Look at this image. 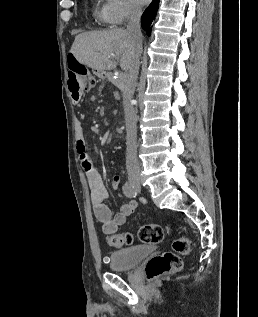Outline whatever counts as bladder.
Instances as JSON below:
<instances>
[{
    "mask_svg": "<svg viewBox=\"0 0 258 317\" xmlns=\"http://www.w3.org/2000/svg\"><path fill=\"white\" fill-rule=\"evenodd\" d=\"M155 251L156 247L153 245H135L113 251L109 255L110 267L116 271L133 269Z\"/></svg>",
    "mask_w": 258,
    "mask_h": 317,
    "instance_id": "obj_1",
    "label": "bladder"
}]
</instances>
